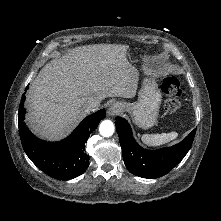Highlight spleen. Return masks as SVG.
I'll use <instances>...</instances> for the list:
<instances>
[{
  "label": "spleen",
  "instance_id": "3e777b00",
  "mask_svg": "<svg viewBox=\"0 0 221 221\" xmlns=\"http://www.w3.org/2000/svg\"><path fill=\"white\" fill-rule=\"evenodd\" d=\"M178 136L177 132L162 133V134H143L139 135L142 142L147 146H160L171 140H174Z\"/></svg>",
  "mask_w": 221,
  "mask_h": 221
}]
</instances>
